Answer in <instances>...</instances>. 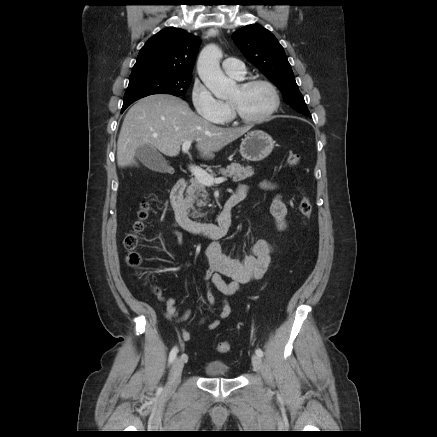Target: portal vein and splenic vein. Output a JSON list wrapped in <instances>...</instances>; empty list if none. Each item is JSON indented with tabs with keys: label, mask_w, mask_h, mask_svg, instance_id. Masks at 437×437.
Instances as JSON below:
<instances>
[{
	"label": "portal vein and splenic vein",
	"mask_w": 437,
	"mask_h": 437,
	"mask_svg": "<svg viewBox=\"0 0 437 437\" xmlns=\"http://www.w3.org/2000/svg\"><path fill=\"white\" fill-rule=\"evenodd\" d=\"M192 141L190 140H186L183 145H182V151L184 153L188 152L190 146H191ZM189 170L191 171V173L195 176V178L203 185L205 186H211L213 184H219L222 183L224 181H226V178L224 177H219V178H214L213 176L209 175L205 170L197 167V166H190Z\"/></svg>",
	"instance_id": "18ae733b"
}]
</instances>
